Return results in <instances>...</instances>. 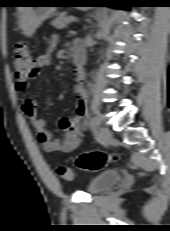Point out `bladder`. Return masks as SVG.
Segmentation results:
<instances>
[{
    "instance_id": "1",
    "label": "bladder",
    "mask_w": 170,
    "mask_h": 231,
    "mask_svg": "<svg viewBox=\"0 0 170 231\" xmlns=\"http://www.w3.org/2000/svg\"><path fill=\"white\" fill-rule=\"evenodd\" d=\"M121 178L118 170L105 171L92 178L87 186V191L90 194H99L114 186Z\"/></svg>"
}]
</instances>
